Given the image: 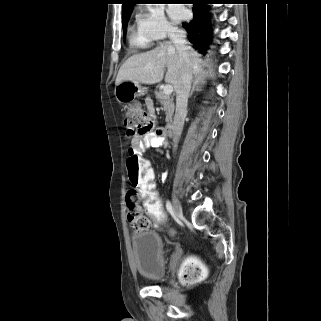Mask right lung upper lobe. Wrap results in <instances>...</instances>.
I'll use <instances>...</instances> for the list:
<instances>
[{"mask_svg":"<svg viewBox=\"0 0 321 321\" xmlns=\"http://www.w3.org/2000/svg\"><path fill=\"white\" fill-rule=\"evenodd\" d=\"M122 1H123L122 15H124L127 12H132L133 6L141 0H122Z\"/></svg>","mask_w":321,"mask_h":321,"instance_id":"right-lung-upper-lobe-1","label":"right lung upper lobe"}]
</instances>
